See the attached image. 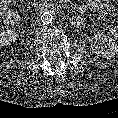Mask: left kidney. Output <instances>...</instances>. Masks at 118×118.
Returning a JSON list of instances; mask_svg holds the SVG:
<instances>
[{
  "label": "left kidney",
  "instance_id": "5707ae66",
  "mask_svg": "<svg viewBox=\"0 0 118 118\" xmlns=\"http://www.w3.org/2000/svg\"><path fill=\"white\" fill-rule=\"evenodd\" d=\"M91 48L97 56L106 59H112L118 53V44L105 33L93 36Z\"/></svg>",
  "mask_w": 118,
  "mask_h": 118
}]
</instances>
